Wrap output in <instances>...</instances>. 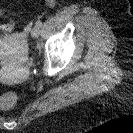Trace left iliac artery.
I'll return each instance as SVG.
<instances>
[{"label": "left iliac artery", "mask_w": 133, "mask_h": 133, "mask_svg": "<svg viewBox=\"0 0 133 133\" xmlns=\"http://www.w3.org/2000/svg\"><path fill=\"white\" fill-rule=\"evenodd\" d=\"M35 26L40 28V27L42 26V22H41L40 20L37 21V22L35 23Z\"/></svg>", "instance_id": "left-iliac-artery-1"}]
</instances>
